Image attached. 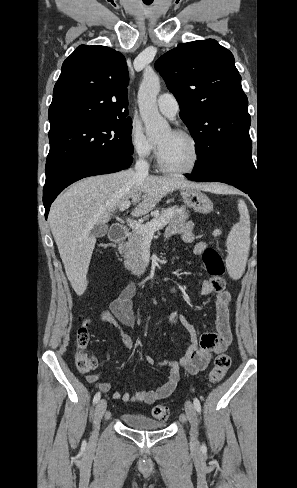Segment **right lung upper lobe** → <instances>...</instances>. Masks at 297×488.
Masks as SVG:
<instances>
[{"mask_svg":"<svg viewBox=\"0 0 297 488\" xmlns=\"http://www.w3.org/2000/svg\"><path fill=\"white\" fill-rule=\"evenodd\" d=\"M124 56L109 47L81 45L64 61L49 107V133L91 122L129 118Z\"/></svg>","mask_w":297,"mask_h":488,"instance_id":"1","label":"right lung upper lobe"}]
</instances>
